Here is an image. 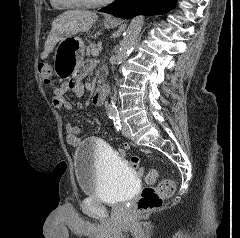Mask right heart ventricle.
Listing matches in <instances>:
<instances>
[{
	"label": "right heart ventricle",
	"instance_id": "e07e8e85",
	"mask_svg": "<svg viewBox=\"0 0 240 238\" xmlns=\"http://www.w3.org/2000/svg\"><path fill=\"white\" fill-rule=\"evenodd\" d=\"M50 1L55 6L71 7L66 4L67 0H50Z\"/></svg>",
	"mask_w": 240,
	"mask_h": 238
}]
</instances>
